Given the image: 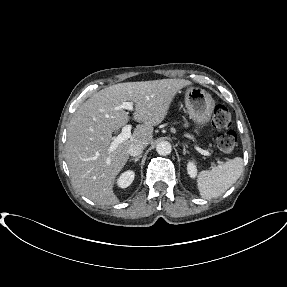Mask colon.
I'll use <instances>...</instances> for the list:
<instances>
[{
    "mask_svg": "<svg viewBox=\"0 0 287 287\" xmlns=\"http://www.w3.org/2000/svg\"><path fill=\"white\" fill-rule=\"evenodd\" d=\"M212 124L217 129H228L232 125V117L229 110L218 105L213 113ZM217 147L225 155L232 154L237 145V135L233 130L221 133L217 137Z\"/></svg>",
    "mask_w": 287,
    "mask_h": 287,
    "instance_id": "5ec220e1",
    "label": "colon"
}]
</instances>
